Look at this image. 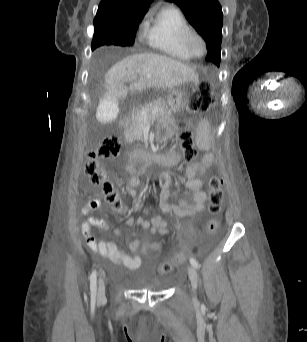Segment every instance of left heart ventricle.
Segmentation results:
<instances>
[{
	"label": "left heart ventricle",
	"mask_w": 307,
	"mask_h": 342,
	"mask_svg": "<svg viewBox=\"0 0 307 342\" xmlns=\"http://www.w3.org/2000/svg\"><path fill=\"white\" fill-rule=\"evenodd\" d=\"M189 46H190L191 51L195 55H200L202 53L203 45L198 36H194L191 38Z\"/></svg>",
	"instance_id": "1"
}]
</instances>
